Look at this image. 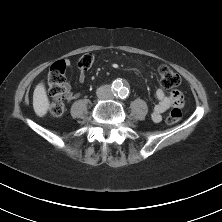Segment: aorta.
Segmentation results:
<instances>
[{
    "instance_id": "762f6f07",
    "label": "aorta",
    "mask_w": 222,
    "mask_h": 222,
    "mask_svg": "<svg viewBox=\"0 0 222 222\" xmlns=\"http://www.w3.org/2000/svg\"><path fill=\"white\" fill-rule=\"evenodd\" d=\"M115 90L118 93V96L120 97H126L129 93L128 88H126L125 86H123V84L120 81H115V83L113 84Z\"/></svg>"
}]
</instances>
